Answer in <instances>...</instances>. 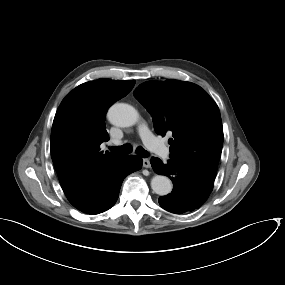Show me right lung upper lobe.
<instances>
[{"label":"right lung upper lobe","instance_id":"right-lung-upper-lobe-1","mask_svg":"<svg viewBox=\"0 0 285 285\" xmlns=\"http://www.w3.org/2000/svg\"><path fill=\"white\" fill-rule=\"evenodd\" d=\"M134 85L135 80L102 78L77 86L61 102L53 121L50 150L61 187L71 204L126 158L103 153L100 144L109 140L105 130L108 108Z\"/></svg>","mask_w":285,"mask_h":285}]
</instances>
